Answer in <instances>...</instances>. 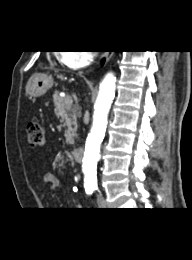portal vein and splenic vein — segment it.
I'll return each mask as SVG.
<instances>
[{"instance_id":"portal-vein-and-splenic-vein-1","label":"portal vein and splenic vein","mask_w":192,"mask_h":260,"mask_svg":"<svg viewBox=\"0 0 192 260\" xmlns=\"http://www.w3.org/2000/svg\"><path fill=\"white\" fill-rule=\"evenodd\" d=\"M72 103H73L72 97L69 96V95L66 96V104H67V106L71 107Z\"/></svg>"}]
</instances>
